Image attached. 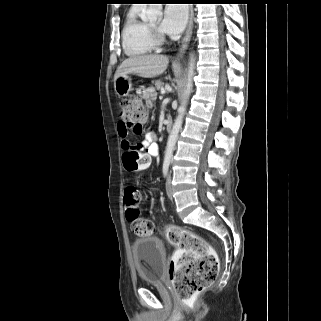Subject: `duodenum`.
Masks as SVG:
<instances>
[{
  "label": "duodenum",
  "mask_w": 321,
  "mask_h": 321,
  "mask_svg": "<svg viewBox=\"0 0 321 321\" xmlns=\"http://www.w3.org/2000/svg\"><path fill=\"white\" fill-rule=\"evenodd\" d=\"M172 126H173L172 119H171V118H167V119L165 120V128H166V130H167L168 132L171 131Z\"/></svg>",
  "instance_id": "obj_1"
}]
</instances>
